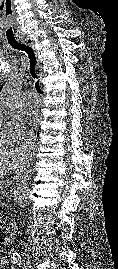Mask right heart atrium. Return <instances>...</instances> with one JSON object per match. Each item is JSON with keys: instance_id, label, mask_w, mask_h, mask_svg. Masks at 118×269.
I'll return each mask as SVG.
<instances>
[{"instance_id": "right-heart-atrium-1", "label": "right heart atrium", "mask_w": 118, "mask_h": 269, "mask_svg": "<svg viewBox=\"0 0 118 269\" xmlns=\"http://www.w3.org/2000/svg\"><path fill=\"white\" fill-rule=\"evenodd\" d=\"M2 129H5L13 140H20L25 135L22 116L0 114V130Z\"/></svg>"}]
</instances>
